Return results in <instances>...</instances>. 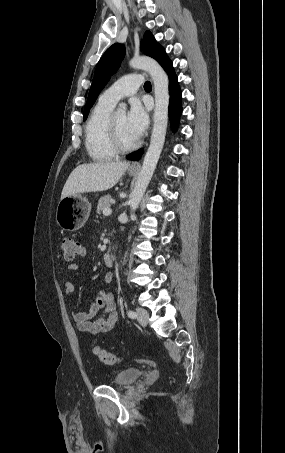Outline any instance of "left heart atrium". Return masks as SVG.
<instances>
[{"label":"left heart atrium","instance_id":"39dd6f15","mask_svg":"<svg viewBox=\"0 0 285 453\" xmlns=\"http://www.w3.org/2000/svg\"><path fill=\"white\" fill-rule=\"evenodd\" d=\"M128 129L133 136L139 139L145 132L148 126V114L144 106L139 100H133L130 105V110L126 115Z\"/></svg>","mask_w":285,"mask_h":453}]
</instances>
